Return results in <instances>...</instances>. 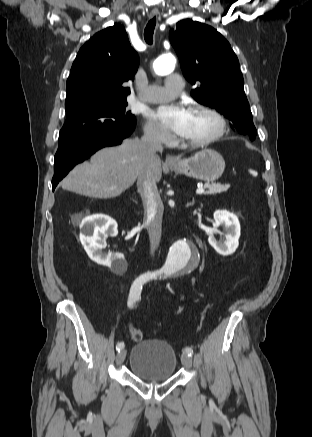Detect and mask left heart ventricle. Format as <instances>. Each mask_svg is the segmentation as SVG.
Masks as SVG:
<instances>
[{
    "label": "left heart ventricle",
    "mask_w": 312,
    "mask_h": 437,
    "mask_svg": "<svg viewBox=\"0 0 312 437\" xmlns=\"http://www.w3.org/2000/svg\"><path fill=\"white\" fill-rule=\"evenodd\" d=\"M216 128L215 120L202 113L192 112L188 130L181 136L185 140H198L210 135Z\"/></svg>",
    "instance_id": "left-heart-ventricle-1"
}]
</instances>
